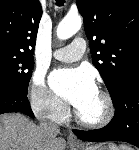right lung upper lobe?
<instances>
[{"instance_id": "obj_1", "label": "right lung upper lobe", "mask_w": 139, "mask_h": 150, "mask_svg": "<svg viewBox=\"0 0 139 150\" xmlns=\"http://www.w3.org/2000/svg\"><path fill=\"white\" fill-rule=\"evenodd\" d=\"M41 16L39 0H0V49L33 56Z\"/></svg>"}]
</instances>
